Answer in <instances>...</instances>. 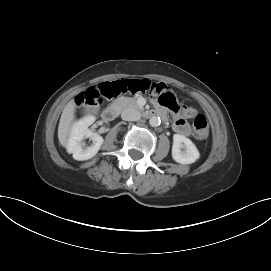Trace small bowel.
Returning <instances> with one entry per match:
<instances>
[{"instance_id":"1","label":"small bowel","mask_w":271,"mask_h":271,"mask_svg":"<svg viewBox=\"0 0 271 271\" xmlns=\"http://www.w3.org/2000/svg\"><path fill=\"white\" fill-rule=\"evenodd\" d=\"M167 87H168L167 80H156L155 87L153 88V93L160 94L161 89H167ZM154 102L158 104V101L156 99L154 100ZM191 113L192 111L190 110V114ZM173 128L178 134L183 135V136H189L191 133V128L189 124L182 117H177L175 119Z\"/></svg>"}]
</instances>
